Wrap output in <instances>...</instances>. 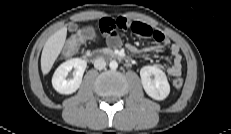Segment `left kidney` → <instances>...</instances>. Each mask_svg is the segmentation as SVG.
I'll return each mask as SVG.
<instances>
[{
    "label": "left kidney",
    "mask_w": 231,
    "mask_h": 134,
    "mask_svg": "<svg viewBox=\"0 0 231 134\" xmlns=\"http://www.w3.org/2000/svg\"><path fill=\"white\" fill-rule=\"evenodd\" d=\"M140 76L142 86L151 98L161 101L169 95L170 85L166 74L157 66L142 67L140 70Z\"/></svg>",
    "instance_id": "1"
}]
</instances>
